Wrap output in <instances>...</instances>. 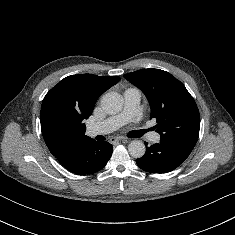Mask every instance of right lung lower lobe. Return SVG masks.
<instances>
[{
	"label": "right lung lower lobe",
	"instance_id": "obj_1",
	"mask_svg": "<svg viewBox=\"0 0 235 235\" xmlns=\"http://www.w3.org/2000/svg\"><path fill=\"white\" fill-rule=\"evenodd\" d=\"M113 147L108 142L90 139L82 143L71 157L61 163L67 170L78 175L92 174L101 170L112 155Z\"/></svg>",
	"mask_w": 235,
	"mask_h": 235
}]
</instances>
